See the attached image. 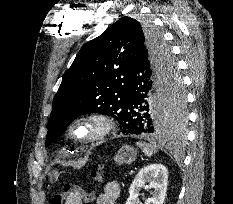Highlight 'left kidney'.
<instances>
[{"instance_id": "left-kidney-1", "label": "left kidney", "mask_w": 233, "mask_h": 204, "mask_svg": "<svg viewBox=\"0 0 233 204\" xmlns=\"http://www.w3.org/2000/svg\"><path fill=\"white\" fill-rule=\"evenodd\" d=\"M168 170L162 164H152L142 168L129 189V198L126 204H137L140 189L146 185L153 188V196L145 201V204H163L166 196Z\"/></svg>"}]
</instances>
